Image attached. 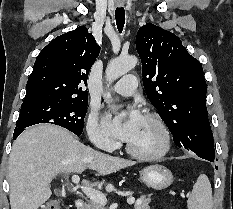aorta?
<instances>
[{
  "label": "aorta",
  "instance_id": "obj_1",
  "mask_svg": "<svg viewBox=\"0 0 233 209\" xmlns=\"http://www.w3.org/2000/svg\"><path fill=\"white\" fill-rule=\"evenodd\" d=\"M137 64V58L135 56H128L125 58H117L112 60L106 68V80L109 85L122 75L129 72ZM104 99L107 103L111 101L110 92L104 94ZM122 116V114H120Z\"/></svg>",
  "mask_w": 233,
  "mask_h": 209
}]
</instances>
